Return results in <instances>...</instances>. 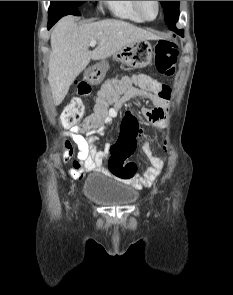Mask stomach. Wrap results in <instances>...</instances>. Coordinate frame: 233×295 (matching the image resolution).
Returning <instances> with one entry per match:
<instances>
[{
	"label": "stomach",
	"mask_w": 233,
	"mask_h": 295,
	"mask_svg": "<svg viewBox=\"0 0 233 295\" xmlns=\"http://www.w3.org/2000/svg\"><path fill=\"white\" fill-rule=\"evenodd\" d=\"M153 57V48L148 40H137L132 42L117 53L113 55V58L127 66L132 68H144L148 66ZM108 69V65L105 62L99 63L86 72V79L93 84L100 83Z\"/></svg>",
	"instance_id": "obj_1"
}]
</instances>
